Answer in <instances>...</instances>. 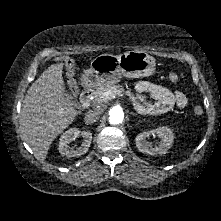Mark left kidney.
<instances>
[{
  "label": "left kidney",
  "mask_w": 221,
  "mask_h": 221,
  "mask_svg": "<svg viewBox=\"0 0 221 221\" xmlns=\"http://www.w3.org/2000/svg\"><path fill=\"white\" fill-rule=\"evenodd\" d=\"M161 139L158 146L152 147L150 143L146 141L150 135H155ZM136 147L142 153H146L149 155L156 154H165L167 150L171 147L172 142L174 140L173 133L168 127H158L155 130H151L148 132H142L136 136Z\"/></svg>",
  "instance_id": "1"
}]
</instances>
